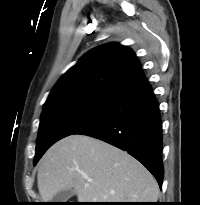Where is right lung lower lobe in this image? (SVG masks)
Wrapping results in <instances>:
<instances>
[{
  "label": "right lung lower lobe",
  "mask_w": 200,
  "mask_h": 205,
  "mask_svg": "<svg viewBox=\"0 0 200 205\" xmlns=\"http://www.w3.org/2000/svg\"><path fill=\"white\" fill-rule=\"evenodd\" d=\"M74 134L88 135L127 151L162 185V123L146 79L124 91L97 119Z\"/></svg>",
  "instance_id": "98d812e1"
}]
</instances>
